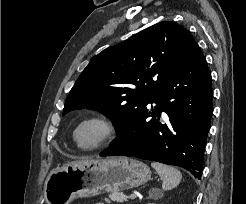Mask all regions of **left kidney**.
<instances>
[{
    "instance_id": "1",
    "label": "left kidney",
    "mask_w": 246,
    "mask_h": 204,
    "mask_svg": "<svg viewBox=\"0 0 246 204\" xmlns=\"http://www.w3.org/2000/svg\"><path fill=\"white\" fill-rule=\"evenodd\" d=\"M147 204H155V203H151V202H150V203H147Z\"/></svg>"
}]
</instances>
